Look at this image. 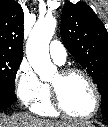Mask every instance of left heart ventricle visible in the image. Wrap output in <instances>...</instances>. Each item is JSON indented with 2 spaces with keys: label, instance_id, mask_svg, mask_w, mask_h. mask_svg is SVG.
<instances>
[{
  "label": "left heart ventricle",
  "instance_id": "1",
  "mask_svg": "<svg viewBox=\"0 0 108 127\" xmlns=\"http://www.w3.org/2000/svg\"><path fill=\"white\" fill-rule=\"evenodd\" d=\"M51 83L59 86L62 102L72 114L83 116L93 110L95 104L94 93L82 75L72 74L61 79L59 73H57Z\"/></svg>",
  "mask_w": 108,
  "mask_h": 127
}]
</instances>
